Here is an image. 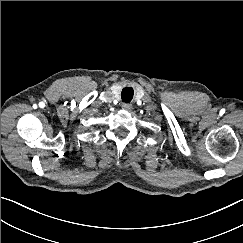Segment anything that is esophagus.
Returning <instances> with one entry per match:
<instances>
[{
	"label": "esophagus",
	"instance_id": "1",
	"mask_svg": "<svg viewBox=\"0 0 243 243\" xmlns=\"http://www.w3.org/2000/svg\"><path fill=\"white\" fill-rule=\"evenodd\" d=\"M122 108L125 109V110H130L131 109V104L123 103L122 104Z\"/></svg>",
	"mask_w": 243,
	"mask_h": 243
}]
</instances>
